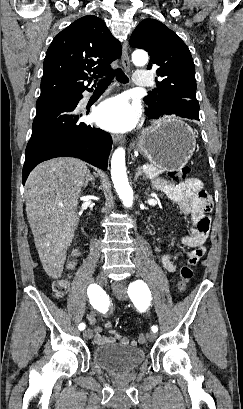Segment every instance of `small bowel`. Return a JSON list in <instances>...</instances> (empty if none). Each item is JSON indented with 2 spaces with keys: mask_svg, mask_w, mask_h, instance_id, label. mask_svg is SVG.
I'll use <instances>...</instances> for the list:
<instances>
[{
  "mask_svg": "<svg viewBox=\"0 0 243 409\" xmlns=\"http://www.w3.org/2000/svg\"><path fill=\"white\" fill-rule=\"evenodd\" d=\"M154 188L164 192L168 198L176 202L182 212L189 216L192 223L191 233L181 237V242L187 247L193 248L187 254L186 263L189 266L196 265L206 253L205 243L210 231V212L213 208L211 197L202 188L198 181H185L181 183H171L165 179H157L154 181ZM157 251H159L157 249ZM159 260L162 266L168 272L176 270V256L168 254H159ZM109 303L106 302L105 310L108 312ZM87 318L94 326L95 337L94 342L97 345L112 344L121 342L123 345L136 346L139 341L133 338L122 337L115 330L111 329V323L107 322L103 327L95 325L96 319L93 313H89ZM103 328L110 329V336L102 334Z\"/></svg>",
  "mask_w": 243,
  "mask_h": 409,
  "instance_id": "1",
  "label": "small bowel"
}]
</instances>
